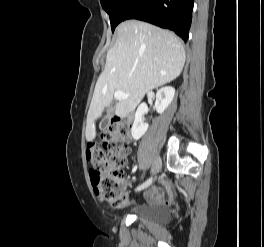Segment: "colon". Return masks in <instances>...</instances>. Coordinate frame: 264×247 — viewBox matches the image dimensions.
Instances as JSON below:
<instances>
[{
    "instance_id": "colon-1",
    "label": "colon",
    "mask_w": 264,
    "mask_h": 247,
    "mask_svg": "<svg viewBox=\"0 0 264 247\" xmlns=\"http://www.w3.org/2000/svg\"><path fill=\"white\" fill-rule=\"evenodd\" d=\"M99 144L90 147L88 159L92 163L90 179L98 197L107 205L120 209L127 205V177L123 170L126 163L127 129L112 121L98 134Z\"/></svg>"
}]
</instances>
